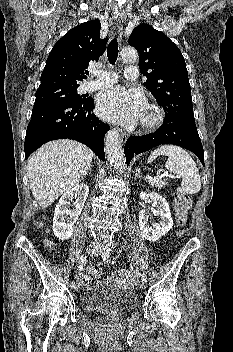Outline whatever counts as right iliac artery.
Masks as SVG:
<instances>
[{
    "mask_svg": "<svg viewBox=\"0 0 233 352\" xmlns=\"http://www.w3.org/2000/svg\"><path fill=\"white\" fill-rule=\"evenodd\" d=\"M86 260H87V257L84 255H81L78 257V262L81 264L80 266H82L84 264V262H86ZM70 287H72V288L75 287V283L71 282Z\"/></svg>",
    "mask_w": 233,
    "mask_h": 352,
    "instance_id": "obj_1",
    "label": "right iliac artery"
}]
</instances>
